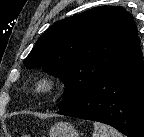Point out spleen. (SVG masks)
I'll return each mask as SVG.
<instances>
[{
	"label": "spleen",
	"mask_w": 144,
	"mask_h": 137,
	"mask_svg": "<svg viewBox=\"0 0 144 137\" xmlns=\"http://www.w3.org/2000/svg\"><path fill=\"white\" fill-rule=\"evenodd\" d=\"M93 125L94 132L92 137H122L119 131L109 125L100 122H94Z\"/></svg>",
	"instance_id": "obj_1"
}]
</instances>
